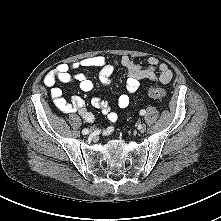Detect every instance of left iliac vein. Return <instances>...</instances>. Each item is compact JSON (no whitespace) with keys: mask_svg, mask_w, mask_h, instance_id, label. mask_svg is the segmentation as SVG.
<instances>
[{"mask_svg":"<svg viewBox=\"0 0 221 221\" xmlns=\"http://www.w3.org/2000/svg\"><path fill=\"white\" fill-rule=\"evenodd\" d=\"M145 130H146V125L143 123V124L140 125L139 131H140L141 133H143V132H145Z\"/></svg>","mask_w":221,"mask_h":221,"instance_id":"1","label":"left iliac vein"}]
</instances>
